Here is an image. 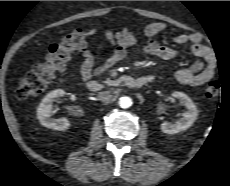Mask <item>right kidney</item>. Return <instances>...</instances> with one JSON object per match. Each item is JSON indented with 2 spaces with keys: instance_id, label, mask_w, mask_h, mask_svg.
Returning a JSON list of instances; mask_svg holds the SVG:
<instances>
[{
  "instance_id": "right-kidney-1",
  "label": "right kidney",
  "mask_w": 230,
  "mask_h": 186,
  "mask_svg": "<svg viewBox=\"0 0 230 186\" xmlns=\"http://www.w3.org/2000/svg\"><path fill=\"white\" fill-rule=\"evenodd\" d=\"M65 95V91L57 89L48 93L41 101L37 108V118L40 123L54 130H66L70 127V122L66 118L53 119L52 115V104L56 98Z\"/></svg>"
}]
</instances>
